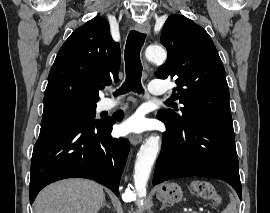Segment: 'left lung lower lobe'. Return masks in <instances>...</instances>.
<instances>
[{"label":"left lung lower lobe","instance_id":"left-lung-lower-lobe-1","mask_svg":"<svg viewBox=\"0 0 270 213\" xmlns=\"http://www.w3.org/2000/svg\"><path fill=\"white\" fill-rule=\"evenodd\" d=\"M158 119L165 123L167 131L163 133L154 185L180 177L203 176L229 183L242 199L232 120L196 118L179 127L162 117Z\"/></svg>","mask_w":270,"mask_h":213}]
</instances>
